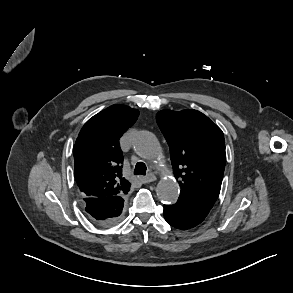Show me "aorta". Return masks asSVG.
Wrapping results in <instances>:
<instances>
[{
  "mask_svg": "<svg viewBox=\"0 0 293 293\" xmlns=\"http://www.w3.org/2000/svg\"><path fill=\"white\" fill-rule=\"evenodd\" d=\"M133 148L138 155L152 164L162 159V151L156 137L148 131H139L133 138ZM158 197L166 203H174L179 197V186L174 179L163 178L157 185Z\"/></svg>",
  "mask_w": 293,
  "mask_h": 293,
  "instance_id": "aorta-1",
  "label": "aorta"
}]
</instances>
